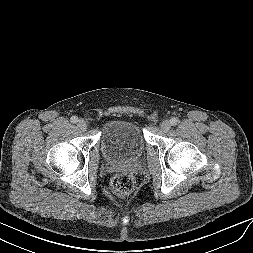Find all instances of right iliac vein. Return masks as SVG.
I'll return each mask as SVG.
<instances>
[{"label":"right iliac vein","instance_id":"1","mask_svg":"<svg viewBox=\"0 0 253 253\" xmlns=\"http://www.w3.org/2000/svg\"><path fill=\"white\" fill-rule=\"evenodd\" d=\"M77 127L82 130L85 131L87 129V124L83 119L78 120L77 122Z\"/></svg>","mask_w":253,"mask_h":253}]
</instances>
